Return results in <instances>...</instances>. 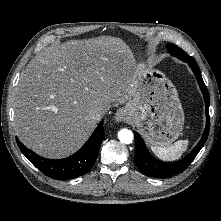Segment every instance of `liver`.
Wrapping results in <instances>:
<instances>
[{"instance_id":"obj_1","label":"liver","mask_w":221,"mask_h":221,"mask_svg":"<svg viewBox=\"0 0 221 221\" xmlns=\"http://www.w3.org/2000/svg\"><path fill=\"white\" fill-rule=\"evenodd\" d=\"M135 59L120 38L69 40L38 53L20 75L14 127L37 154L59 159L79 150L96 128L90 114L124 104Z\"/></svg>"}]
</instances>
